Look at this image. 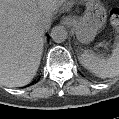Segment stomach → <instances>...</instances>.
Returning a JSON list of instances; mask_svg holds the SVG:
<instances>
[{
	"mask_svg": "<svg viewBox=\"0 0 119 119\" xmlns=\"http://www.w3.org/2000/svg\"><path fill=\"white\" fill-rule=\"evenodd\" d=\"M86 11L80 18L72 20L71 25L79 42H92L107 20L106 9L100 0H84Z\"/></svg>",
	"mask_w": 119,
	"mask_h": 119,
	"instance_id": "0dacf381",
	"label": "stomach"
}]
</instances>
